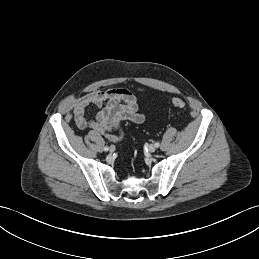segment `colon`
Returning <instances> with one entry per match:
<instances>
[{"label": "colon", "instance_id": "1", "mask_svg": "<svg viewBox=\"0 0 259 259\" xmlns=\"http://www.w3.org/2000/svg\"><path fill=\"white\" fill-rule=\"evenodd\" d=\"M172 105L179 110H185L187 107L186 103L180 98H174L172 100Z\"/></svg>", "mask_w": 259, "mask_h": 259}]
</instances>
